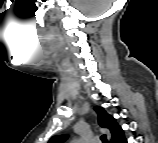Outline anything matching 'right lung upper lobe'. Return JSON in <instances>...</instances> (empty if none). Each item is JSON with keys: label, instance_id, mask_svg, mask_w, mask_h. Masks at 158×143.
<instances>
[{"label": "right lung upper lobe", "instance_id": "1", "mask_svg": "<svg viewBox=\"0 0 158 143\" xmlns=\"http://www.w3.org/2000/svg\"><path fill=\"white\" fill-rule=\"evenodd\" d=\"M94 110L98 114L99 125L103 128H106L111 133V143H119L124 139V134L122 128L116 123L115 119L106 113V111L99 106H95ZM67 140L66 135L54 136L50 139L52 143H63Z\"/></svg>", "mask_w": 158, "mask_h": 143}]
</instances>
